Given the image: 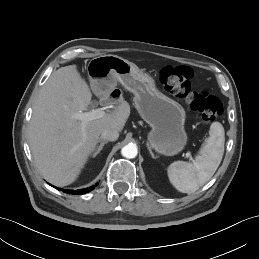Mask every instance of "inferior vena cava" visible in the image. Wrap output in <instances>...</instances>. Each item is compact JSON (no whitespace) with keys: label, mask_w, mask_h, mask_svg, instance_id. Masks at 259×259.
Returning <instances> with one entry per match:
<instances>
[{"label":"inferior vena cava","mask_w":259,"mask_h":259,"mask_svg":"<svg viewBox=\"0 0 259 259\" xmlns=\"http://www.w3.org/2000/svg\"><path fill=\"white\" fill-rule=\"evenodd\" d=\"M119 137V133L117 130H112V129H105L101 133V139L104 141H115Z\"/></svg>","instance_id":"inferior-vena-cava-1"}]
</instances>
